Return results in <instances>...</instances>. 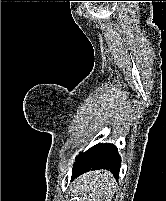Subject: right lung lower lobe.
<instances>
[{
  "label": "right lung lower lobe",
  "instance_id": "1",
  "mask_svg": "<svg viewBox=\"0 0 166 201\" xmlns=\"http://www.w3.org/2000/svg\"><path fill=\"white\" fill-rule=\"evenodd\" d=\"M121 158L117 148L112 144H98L80 154L74 164L72 179L84 172L97 169H107L118 178Z\"/></svg>",
  "mask_w": 166,
  "mask_h": 201
}]
</instances>
